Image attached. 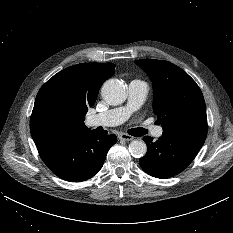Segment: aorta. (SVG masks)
<instances>
[{
    "mask_svg": "<svg viewBox=\"0 0 233 233\" xmlns=\"http://www.w3.org/2000/svg\"><path fill=\"white\" fill-rule=\"evenodd\" d=\"M101 95L104 101L110 105H120L127 98V90L119 80L111 79L106 81L101 88ZM129 152L132 156L140 158L147 152V145L142 140H133L129 144Z\"/></svg>",
    "mask_w": 233,
    "mask_h": 233,
    "instance_id": "obj_1",
    "label": "aorta"
}]
</instances>
